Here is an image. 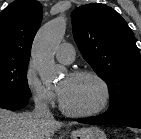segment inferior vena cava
Masks as SVG:
<instances>
[{"mask_svg":"<svg viewBox=\"0 0 141 139\" xmlns=\"http://www.w3.org/2000/svg\"><path fill=\"white\" fill-rule=\"evenodd\" d=\"M34 115L41 121L53 120V115L49 110V106L43 96H37L35 98V110Z\"/></svg>","mask_w":141,"mask_h":139,"instance_id":"1","label":"inferior vena cava"}]
</instances>
